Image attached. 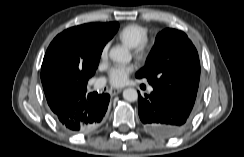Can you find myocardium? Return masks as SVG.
Wrapping results in <instances>:
<instances>
[{"mask_svg": "<svg viewBox=\"0 0 244 157\" xmlns=\"http://www.w3.org/2000/svg\"><path fill=\"white\" fill-rule=\"evenodd\" d=\"M152 49L153 43L150 40L145 39L134 47V54L138 59L144 60L151 54Z\"/></svg>", "mask_w": 244, "mask_h": 157, "instance_id": "f54148a6", "label": "myocardium"}]
</instances>
